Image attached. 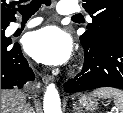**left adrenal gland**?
Returning a JSON list of instances; mask_svg holds the SVG:
<instances>
[{"label":"left adrenal gland","instance_id":"obj_1","mask_svg":"<svg viewBox=\"0 0 123 113\" xmlns=\"http://www.w3.org/2000/svg\"><path fill=\"white\" fill-rule=\"evenodd\" d=\"M76 110H78V111H77V113H79V112H80V111H79V109H76Z\"/></svg>","mask_w":123,"mask_h":113}]
</instances>
